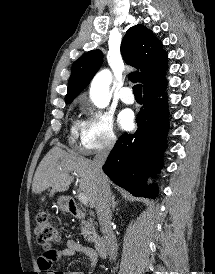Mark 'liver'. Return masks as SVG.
<instances>
[{
  "label": "liver",
  "instance_id": "1",
  "mask_svg": "<svg viewBox=\"0 0 215 274\" xmlns=\"http://www.w3.org/2000/svg\"><path fill=\"white\" fill-rule=\"evenodd\" d=\"M74 176L80 177L79 188L86 194L91 207H95L97 198V178L92 161L75 154H70L60 147H53L42 159L35 172L32 191L40 194L52 187L50 197L56 192L69 189ZM45 197L41 198L44 201Z\"/></svg>",
  "mask_w": 215,
  "mask_h": 274
}]
</instances>
